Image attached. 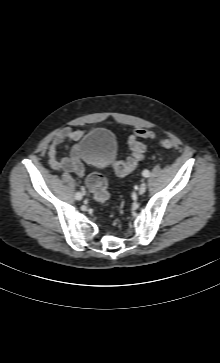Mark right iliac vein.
<instances>
[{
    "mask_svg": "<svg viewBox=\"0 0 220 363\" xmlns=\"http://www.w3.org/2000/svg\"><path fill=\"white\" fill-rule=\"evenodd\" d=\"M83 194H85V190L84 189H82V192H81V195H83Z\"/></svg>",
    "mask_w": 220,
    "mask_h": 363,
    "instance_id": "1",
    "label": "right iliac vein"
}]
</instances>
